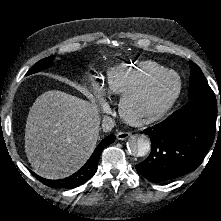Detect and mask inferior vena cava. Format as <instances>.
Wrapping results in <instances>:
<instances>
[{
  "label": "inferior vena cava",
  "mask_w": 221,
  "mask_h": 221,
  "mask_svg": "<svg viewBox=\"0 0 221 221\" xmlns=\"http://www.w3.org/2000/svg\"><path fill=\"white\" fill-rule=\"evenodd\" d=\"M115 126V122L112 118L110 117H105L102 120V130L104 132H109L111 131Z\"/></svg>",
  "instance_id": "inferior-vena-cava-1"
}]
</instances>
